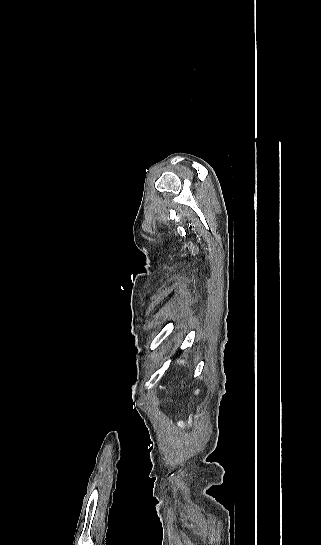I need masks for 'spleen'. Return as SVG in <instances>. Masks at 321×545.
Masks as SVG:
<instances>
[{"label": "spleen", "instance_id": "1", "mask_svg": "<svg viewBox=\"0 0 321 545\" xmlns=\"http://www.w3.org/2000/svg\"><path fill=\"white\" fill-rule=\"evenodd\" d=\"M178 363H181V365H182V363H184V361H178Z\"/></svg>", "mask_w": 321, "mask_h": 545}]
</instances>
